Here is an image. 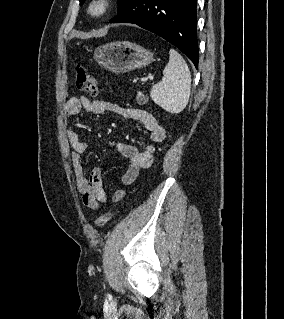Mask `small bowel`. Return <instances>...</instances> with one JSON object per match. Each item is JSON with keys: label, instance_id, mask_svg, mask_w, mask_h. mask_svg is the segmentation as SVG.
<instances>
[{"label": "small bowel", "instance_id": "c3829d8e", "mask_svg": "<svg viewBox=\"0 0 284 319\" xmlns=\"http://www.w3.org/2000/svg\"><path fill=\"white\" fill-rule=\"evenodd\" d=\"M64 110L68 116H75L82 110L93 115L111 112L123 115L143 125L150 141L149 145L144 149L126 143L109 142L110 146L115 147L118 152L127 159V167L121 177V182L125 186L131 185L136 180L140 169L151 166L155 150L154 144L163 141L166 137L165 129L152 114L145 110L123 108L103 100H90L84 96L69 98L64 105ZM67 138L73 150L72 166L77 189L82 195V202L86 207L97 210L100 204H107L109 202V198L102 186L101 169L95 167L90 171L89 176H86L82 164V154L86 151L87 144L74 130L67 132ZM124 196L125 191L123 189H117L114 191L111 200L113 202H119Z\"/></svg>", "mask_w": 284, "mask_h": 319}]
</instances>
